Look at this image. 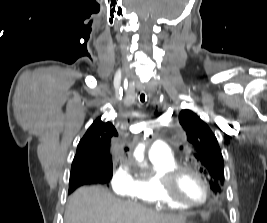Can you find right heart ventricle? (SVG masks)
<instances>
[{"label":"right heart ventricle","mask_w":267,"mask_h":223,"mask_svg":"<svg viewBox=\"0 0 267 223\" xmlns=\"http://www.w3.org/2000/svg\"><path fill=\"white\" fill-rule=\"evenodd\" d=\"M151 168L148 172L141 173L133 178L131 190L127 193L134 200L150 204L154 207H170L180 211L188 207L166 200L161 191L160 178L164 172L174 167L177 163L173 157L167 159L150 157Z\"/></svg>","instance_id":"e07e8e85"}]
</instances>
